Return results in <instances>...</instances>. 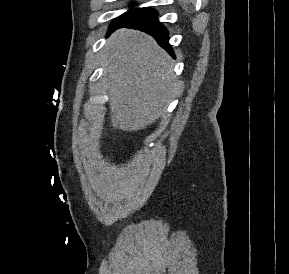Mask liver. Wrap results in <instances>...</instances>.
<instances>
[{
    "mask_svg": "<svg viewBox=\"0 0 289 274\" xmlns=\"http://www.w3.org/2000/svg\"><path fill=\"white\" fill-rule=\"evenodd\" d=\"M104 51L112 126L129 132L146 128L179 89L170 56L152 37L130 29L113 33Z\"/></svg>",
    "mask_w": 289,
    "mask_h": 274,
    "instance_id": "6515ba94",
    "label": "liver"
}]
</instances>
